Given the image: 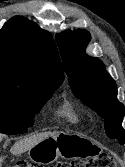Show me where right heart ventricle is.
Returning a JSON list of instances; mask_svg holds the SVG:
<instances>
[{
  "instance_id": "obj_1",
  "label": "right heart ventricle",
  "mask_w": 125,
  "mask_h": 167,
  "mask_svg": "<svg viewBox=\"0 0 125 167\" xmlns=\"http://www.w3.org/2000/svg\"><path fill=\"white\" fill-rule=\"evenodd\" d=\"M56 116L71 124H75L79 121V115L70 103L62 104L56 111Z\"/></svg>"
}]
</instances>
